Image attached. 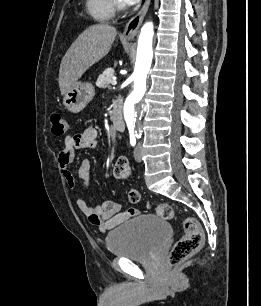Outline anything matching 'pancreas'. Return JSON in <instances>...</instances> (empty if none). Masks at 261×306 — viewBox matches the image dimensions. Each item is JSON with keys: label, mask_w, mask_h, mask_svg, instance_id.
<instances>
[{"label": "pancreas", "mask_w": 261, "mask_h": 306, "mask_svg": "<svg viewBox=\"0 0 261 306\" xmlns=\"http://www.w3.org/2000/svg\"><path fill=\"white\" fill-rule=\"evenodd\" d=\"M113 76H114V69L113 68H107L98 77V79L96 81V86L99 87V88H106L111 83Z\"/></svg>", "instance_id": "pancreas-1"}]
</instances>
